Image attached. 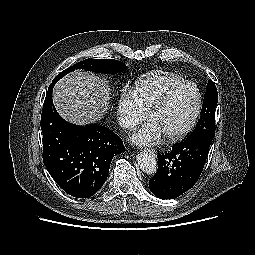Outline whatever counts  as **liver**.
I'll return each mask as SVG.
<instances>
[{
    "label": "liver",
    "mask_w": 255,
    "mask_h": 255,
    "mask_svg": "<svg viewBox=\"0 0 255 255\" xmlns=\"http://www.w3.org/2000/svg\"><path fill=\"white\" fill-rule=\"evenodd\" d=\"M110 95V88L103 79L78 70L57 82L53 102L65 120L87 125L104 116L110 104Z\"/></svg>",
    "instance_id": "6515ba94"
}]
</instances>
